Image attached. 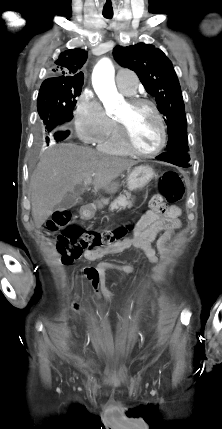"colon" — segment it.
I'll list each match as a JSON object with an SVG mask.
<instances>
[{
  "mask_svg": "<svg viewBox=\"0 0 222 429\" xmlns=\"http://www.w3.org/2000/svg\"><path fill=\"white\" fill-rule=\"evenodd\" d=\"M161 197L169 203L180 201L184 196V184L181 176L174 171L165 172L160 179ZM48 229L52 232L61 230L57 236L56 248L64 263L69 264L81 257L85 251L106 248L123 240L128 226H121L113 230L98 231L86 229L71 223L68 211L58 212L48 222Z\"/></svg>",
  "mask_w": 222,
  "mask_h": 429,
  "instance_id": "1",
  "label": "colon"
}]
</instances>
